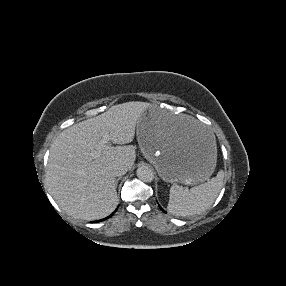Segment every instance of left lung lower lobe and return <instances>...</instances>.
Segmentation results:
<instances>
[{
    "label": "left lung lower lobe",
    "mask_w": 286,
    "mask_h": 286,
    "mask_svg": "<svg viewBox=\"0 0 286 286\" xmlns=\"http://www.w3.org/2000/svg\"><path fill=\"white\" fill-rule=\"evenodd\" d=\"M161 208V207H160ZM161 210L163 211V212H165L162 208H161ZM166 213V212H165Z\"/></svg>",
    "instance_id": "0a47b994"
}]
</instances>
